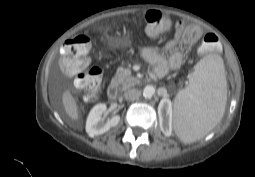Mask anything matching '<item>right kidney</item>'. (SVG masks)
Masks as SVG:
<instances>
[{"label": "right kidney", "instance_id": "1", "mask_svg": "<svg viewBox=\"0 0 255 177\" xmlns=\"http://www.w3.org/2000/svg\"><path fill=\"white\" fill-rule=\"evenodd\" d=\"M106 109V104L100 103L95 105L90 111L86 121V132L90 137L101 135L119 123V115L112 116L106 122L103 121L102 114Z\"/></svg>", "mask_w": 255, "mask_h": 177}]
</instances>
